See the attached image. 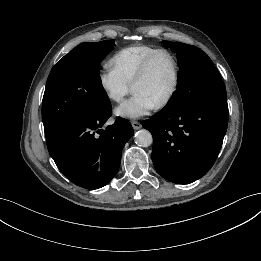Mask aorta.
I'll return each instance as SVG.
<instances>
[{
  "instance_id": "762f6f07",
  "label": "aorta",
  "mask_w": 261,
  "mask_h": 261,
  "mask_svg": "<svg viewBox=\"0 0 261 261\" xmlns=\"http://www.w3.org/2000/svg\"><path fill=\"white\" fill-rule=\"evenodd\" d=\"M152 134L146 130L141 129L135 133V143L140 147H148L152 144Z\"/></svg>"
}]
</instances>
